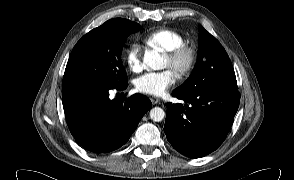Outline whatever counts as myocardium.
<instances>
[{"mask_svg":"<svg viewBox=\"0 0 294 180\" xmlns=\"http://www.w3.org/2000/svg\"><path fill=\"white\" fill-rule=\"evenodd\" d=\"M170 61V67L178 76L189 74L195 65L196 55L194 50L188 46H180L166 53Z\"/></svg>","mask_w":294,"mask_h":180,"instance_id":"obj_1","label":"myocardium"}]
</instances>
